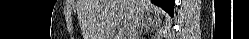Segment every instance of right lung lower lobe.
I'll use <instances>...</instances> for the list:
<instances>
[{
	"label": "right lung lower lobe",
	"mask_w": 249,
	"mask_h": 39,
	"mask_svg": "<svg viewBox=\"0 0 249 39\" xmlns=\"http://www.w3.org/2000/svg\"><path fill=\"white\" fill-rule=\"evenodd\" d=\"M156 5L160 6L166 12H168L171 16H173L174 12V0H151Z\"/></svg>",
	"instance_id": "1"
}]
</instances>
